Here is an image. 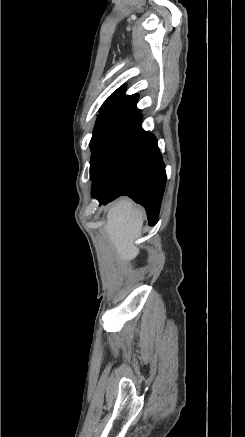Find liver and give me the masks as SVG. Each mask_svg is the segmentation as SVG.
Returning <instances> with one entry per match:
<instances>
[{
  "mask_svg": "<svg viewBox=\"0 0 245 437\" xmlns=\"http://www.w3.org/2000/svg\"><path fill=\"white\" fill-rule=\"evenodd\" d=\"M143 213L129 200L116 202L107 214L106 233L121 260L137 257L139 249L135 240L140 237Z\"/></svg>",
  "mask_w": 245,
  "mask_h": 437,
  "instance_id": "obj_1",
  "label": "liver"
}]
</instances>
